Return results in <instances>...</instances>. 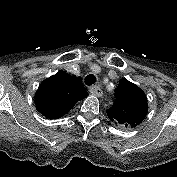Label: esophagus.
Returning a JSON list of instances; mask_svg holds the SVG:
<instances>
[{"mask_svg":"<svg viewBox=\"0 0 177 177\" xmlns=\"http://www.w3.org/2000/svg\"><path fill=\"white\" fill-rule=\"evenodd\" d=\"M90 93L94 96L101 97L103 94V91L99 86L93 85L90 87Z\"/></svg>","mask_w":177,"mask_h":177,"instance_id":"obj_1","label":"esophagus"}]
</instances>
